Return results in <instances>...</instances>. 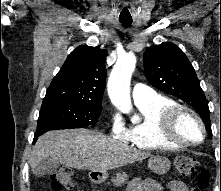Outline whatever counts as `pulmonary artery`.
Instances as JSON below:
<instances>
[{
  "mask_svg": "<svg viewBox=\"0 0 221 191\" xmlns=\"http://www.w3.org/2000/svg\"><path fill=\"white\" fill-rule=\"evenodd\" d=\"M157 96V93L147 85L136 83L132 88V98L135 104L149 102Z\"/></svg>",
  "mask_w": 221,
  "mask_h": 191,
  "instance_id": "pulmonary-artery-1",
  "label": "pulmonary artery"
}]
</instances>
